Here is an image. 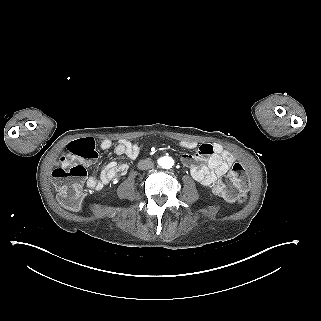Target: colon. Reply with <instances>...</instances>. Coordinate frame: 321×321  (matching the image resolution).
<instances>
[{"label":"colon","instance_id":"1","mask_svg":"<svg viewBox=\"0 0 321 321\" xmlns=\"http://www.w3.org/2000/svg\"><path fill=\"white\" fill-rule=\"evenodd\" d=\"M98 156L95 141L85 138L68 144L52 172V178L62 206L79 211L84 199L83 185L87 176L86 169L79 164L82 160H94ZM249 186L245 167L234 163L227 175L215 185L216 193L227 200L243 203Z\"/></svg>","mask_w":321,"mask_h":321}]
</instances>
